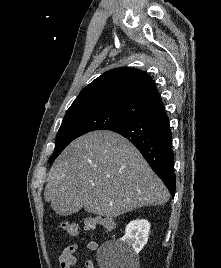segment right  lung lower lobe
<instances>
[{
  "instance_id": "98d812e1",
  "label": "right lung lower lobe",
  "mask_w": 221,
  "mask_h": 268,
  "mask_svg": "<svg viewBox=\"0 0 221 268\" xmlns=\"http://www.w3.org/2000/svg\"><path fill=\"white\" fill-rule=\"evenodd\" d=\"M107 130L117 132L132 142L174 196L176 177L172 134L164 108L123 121Z\"/></svg>"
}]
</instances>
